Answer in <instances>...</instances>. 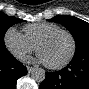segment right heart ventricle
Wrapping results in <instances>:
<instances>
[{
	"mask_svg": "<svg viewBox=\"0 0 89 89\" xmlns=\"http://www.w3.org/2000/svg\"><path fill=\"white\" fill-rule=\"evenodd\" d=\"M60 27L54 23L41 22L28 24L23 28L25 37L34 45L47 33L59 29Z\"/></svg>",
	"mask_w": 89,
	"mask_h": 89,
	"instance_id": "1",
	"label": "right heart ventricle"
}]
</instances>
